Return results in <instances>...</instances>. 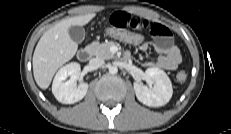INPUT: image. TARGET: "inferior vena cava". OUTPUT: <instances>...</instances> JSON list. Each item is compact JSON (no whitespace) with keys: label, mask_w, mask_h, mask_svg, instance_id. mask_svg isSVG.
Returning <instances> with one entry per match:
<instances>
[{"label":"inferior vena cava","mask_w":231,"mask_h":134,"mask_svg":"<svg viewBox=\"0 0 231 134\" xmlns=\"http://www.w3.org/2000/svg\"><path fill=\"white\" fill-rule=\"evenodd\" d=\"M105 64L104 60L101 58H92L89 61V65L93 68V69H98L101 68L103 65Z\"/></svg>","instance_id":"obj_1"}]
</instances>
